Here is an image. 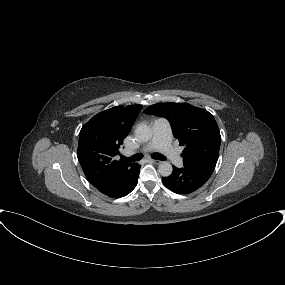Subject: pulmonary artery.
I'll return each mask as SVG.
<instances>
[{"instance_id": "obj_1", "label": "pulmonary artery", "mask_w": 285, "mask_h": 285, "mask_svg": "<svg viewBox=\"0 0 285 285\" xmlns=\"http://www.w3.org/2000/svg\"><path fill=\"white\" fill-rule=\"evenodd\" d=\"M171 140L172 134L169 122L164 118H157L153 121V137L142 148V151L160 150L176 167L182 168V157L172 146Z\"/></svg>"}]
</instances>
